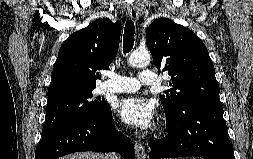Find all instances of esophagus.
I'll return each instance as SVG.
<instances>
[{"mask_svg": "<svg viewBox=\"0 0 253 159\" xmlns=\"http://www.w3.org/2000/svg\"><path fill=\"white\" fill-rule=\"evenodd\" d=\"M127 13L134 22L138 20V8L135 4H131L127 7ZM134 147L137 159H147L145 147L142 142L135 140Z\"/></svg>", "mask_w": 253, "mask_h": 159, "instance_id": "esophagus-1", "label": "esophagus"}]
</instances>
